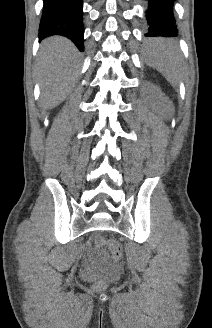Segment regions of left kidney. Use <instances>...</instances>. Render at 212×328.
Listing matches in <instances>:
<instances>
[{
	"label": "left kidney",
	"instance_id": "5707ae66",
	"mask_svg": "<svg viewBox=\"0 0 212 328\" xmlns=\"http://www.w3.org/2000/svg\"><path fill=\"white\" fill-rule=\"evenodd\" d=\"M162 102H163L164 109L170 115L173 110L171 103L168 100H166L165 98H162Z\"/></svg>",
	"mask_w": 212,
	"mask_h": 328
}]
</instances>
